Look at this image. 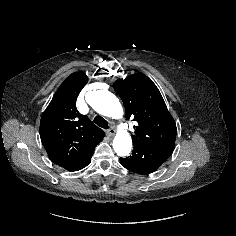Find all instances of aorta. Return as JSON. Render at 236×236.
Segmentation results:
<instances>
[{
  "label": "aorta",
  "mask_w": 236,
  "mask_h": 236,
  "mask_svg": "<svg viewBox=\"0 0 236 236\" xmlns=\"http://www.w3.org/2000/svg\"><path fill=\"white\" fill-rule=\"evenodd\" d=\"M88 103L93 109L104 116L119 119L123 116V109L118 98L108 91L89 92ZM132 148V140L125 130H120L113 140V149L118 156H127Z\"/></svg>",
  "instance_id": "obj_1"
}]
</instances>
